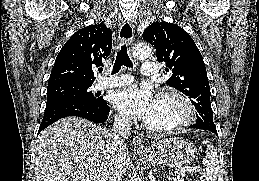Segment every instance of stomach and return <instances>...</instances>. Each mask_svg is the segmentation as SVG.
Wrapping results in <instances>:
<instances>
[{
    "mask_svg": "<svg viewBox=\"0 0 259 181\" xmlns=\"http://www.w3.org/2000/svg\"><path fill=\"white\" fill-rule=\"evenodd\" d=\"M197 150L189 140L166 138L154 143L146 152L147 160L152 165L180 168L189 164Z\"/></svg>",
    "mask_w": 259,
    "mask_h": 181,
    "instance_id": "obj_1",
    "label": "stomach"
}]
</instances>
